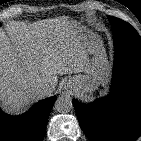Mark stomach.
<instances>
[{
    "label": "stomach",
    "mask_w": 141,
    "mask_h": 141,
    "mask_svg": "<svg viewBox=\"0 0 141 141\" xmlns=\"http://www.w3.org/2000/svg\"><path fill=\"white\" fill-rule=\"evenodd\" d=\"M77 37L82 38V40L86 43V46H87V48L90 52H95L100 48V46H102L92 36L90 37V36L84 35L83 33L82 34L80 33ZM68 83L73 88H77V87H80V86L86 87L88 85V82H87L85 76H73L69 79Z\"/></svg>",
    "instance_id": "stomach-1"
}]
</instances>
